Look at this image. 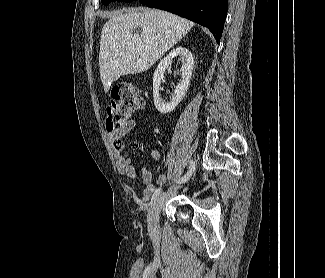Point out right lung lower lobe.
Listing matches in <instances>:
<instances>
[{
    "label": "right lung lower lobe",
    "instance_id": "98d812e1",
    "mask_svg": "<svg viewBox=\"0 0 325 278\" xmlns=\"http://www.w3.org/2000/svg\"><path fill=\"white\" fill-rule=\"evenodd\" d=\"M148 7L158 8L206 26L217 43L223 32L228 0H139Z\"/></svg>",
    "mask_w": 325,
    "mask_h": 278
}]
</instances>
